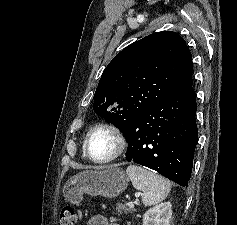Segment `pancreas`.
Instances as JSON below:
<instances>
[{
	"label": "pancreas",
	"mask_w": 237,
	"mask_h": 225,
	"mask_svg": "<svg viewBox=\"0 0 237 225\" xmlns=\"http://www.w3.org/2000/svg\"><path fill=\"white\" fill-rule=\"evenodd\" d=\"M116 209L118 210V212H120V213L124 212L125 214H129V213H132L134 211L132 208H127L123 204H117Z\"/></svg>",
	"instance_id": "pancreas-1"
}]
</instances>
